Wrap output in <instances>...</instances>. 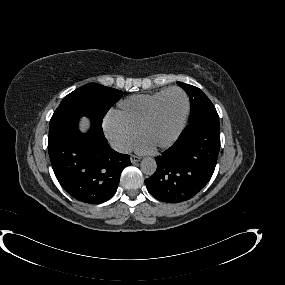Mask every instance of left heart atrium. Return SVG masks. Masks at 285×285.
Here are the masks:
<instances>
[{
    "mask_svg": "<svg viewBox=\"0 0 285 285\" xmlns=\"http://www.w3.org/2000/svg\"><path fill=\"white\" fill-rule=\"evenodd\" d=\"M135 149L139 152H142V153H149V152L153 151L154 147L151 146L143 138H140L135 145Z\"/></svg>",
    "mask_w": 285,
    "mask_h": 285,
    "instance_id": "obj_1",
    "label": "left heart atrium"
}]
</instances>
